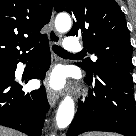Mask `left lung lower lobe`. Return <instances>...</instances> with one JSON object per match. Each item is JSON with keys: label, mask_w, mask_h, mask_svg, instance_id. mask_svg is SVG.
Listing matches in <instances>:
<instances>
[{"label": "left lung lower lobe", "mask_w": 136, "mask_h": 136, "mask_svg": "<svg viewBox=\"0 0 136 136\" xmlns=\"http://www.w3.org/2000/svg\"><path fill=\"white\" fill-rule=\"evenodd\" d=\"M86 74L85 82L93 88L89 90L90 95L85 102L79 103L67 136H77L88 131L136 136L132 74L120 71Z\"/></svg>", "instance_id": "0a47b994"}]
</instances>
